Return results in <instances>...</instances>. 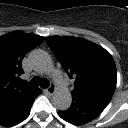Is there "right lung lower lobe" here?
Masks as SVG:
<instances>
[{
  "mask_svg": "<svg viewBox=\"0 0 128 128\" xmlns=\"http://www.w3.org/2000/svg\"><path fill=\"white\" fill-rule=\"evenodd\" d=\"M39 94H41V90L35 88L33 91L15 100L8 109L0 113V125L10 127L25 120L30 114L35 98Z\"/></svg>",
  "mask_w": 128,
  "mask_h": 128,
  "instance_id": "1",
  "label": "right lung lower lobe"
}]
</instances>
